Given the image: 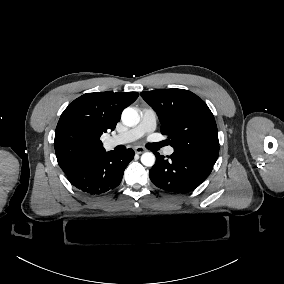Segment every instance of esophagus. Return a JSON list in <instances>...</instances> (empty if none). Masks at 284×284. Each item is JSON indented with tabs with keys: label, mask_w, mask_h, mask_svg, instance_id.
Instances as JSON below:
<instances>
[{
	"label": "esophagus",
	"mask_w": 284,
	"mask_h": 284,
	"mask_svg": "<svg viewBox=\"0 0 284 284\" xmlns=\"http://www.w3.org/2000/svg\"><path fill=\"white\" fill-rule=\"evenodd\" d=\"M133 149L136 154H142L146 151V149L142 146H135Z\"/></svg>",
	"instance_id": "esophagus-1"
}]
</instances>
